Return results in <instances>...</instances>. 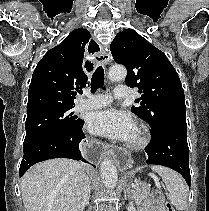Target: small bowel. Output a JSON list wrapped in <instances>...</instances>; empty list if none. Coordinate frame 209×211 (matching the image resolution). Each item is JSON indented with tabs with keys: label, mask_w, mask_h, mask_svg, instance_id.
Instances as JSON below:
<instances>
[{
	"label": "small bowel",
	"mask_w": 209,
	"mask_h": 211,
	"mask_svg": "<svg viewBox=\"0 0 209 211\" xmlns=\"http://www.w3.org/2000/svg\"><path fill=\"white\" fill-rule=\"evenodd\" d=\"M138 211H165L163 195L153 192Z\"/></svg>",
	"instance_id": "small-bowel-1"
}]
</instances>
